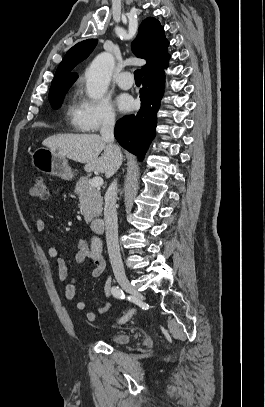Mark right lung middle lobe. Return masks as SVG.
<instances>
[{
    "label": "right lung middle lobe",
    "instance_id": "dd1d6c3e",
    "mask_svg": "<svg viewBox=\"0 0 265 407\" xmlns=\"http://www.w3.org/2000/svg\"><path fill=\"white\" fill-rule=\"evenodd\" d=\"M73 83H60L53 85L49 91V102L54 109L61 107L65 93Z\"/></svg>",
    "mask_w": 265,
    "mask_h": 407
}]
</instances>
